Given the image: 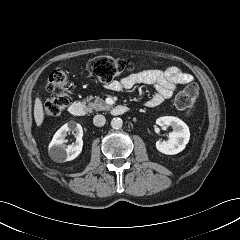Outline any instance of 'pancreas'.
I'll list each match as a JSON object with an SVG mask.
<instances>
[{
  "instance_id": "obj_1",
  "label": "pancreas",
  "mask_w": 240,
  "mask_h": 240,
  "mask_svg": "<svg viewBox=\"0 0 240 240\" xmlns=\"http://www.w3.org/2000/svg\"><path fill=\"white\" fill-rule=\"evenodd\" d=\"M92 99H94V97L92 95H90L86 98V101L88 102V107L90 110L94 109L97 111H101V110L110 108V106L107 105L103 99L96 97L95 100L93 102H91Z\"/></svg>"
}]
</instances>
